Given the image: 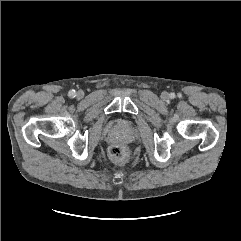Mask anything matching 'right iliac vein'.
Instances as JSON below:
<instances>
[{"label": "right iliac vein", "mask_w": 241, "mask_h": 241, "mask_svg": "<svg viewBox=\"0 0 241 241\" xmlns=\"http://www.w3.org/2000/svg\"><path fill=\"white\" fill-rule=\"evenodd\" d=\"M84 96V93L82 92V91H79L78 93H77V97L78 98H82Z\"/></svg>", "instance_id": "obj_1"}]
</instances>
